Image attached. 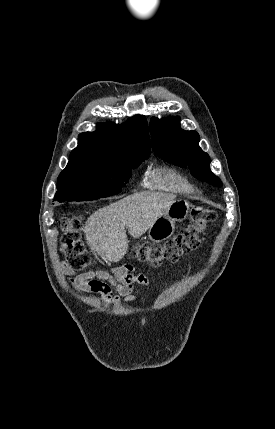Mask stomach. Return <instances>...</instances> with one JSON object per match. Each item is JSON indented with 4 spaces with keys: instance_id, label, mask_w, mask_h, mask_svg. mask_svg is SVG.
<instances>
[{
    "instance_id": "1",
    "label": "stomach",
    "mask_w": 275,
    "mask_h": 429,
    "mask_svg": "<svg viewBox=\"0 0 275 429\" xmlns=\"http://www.w3.org/2000/svg\"><path fill=\"white\" fill-rule=\"evenodd\" d=\"M189 212V203L177 200L171 204L149 228L148 235L153 242L169 238L175 230V223L183 221Z\"/></svg>"
}]
</instances>
